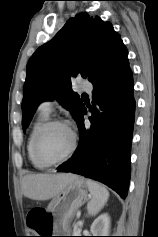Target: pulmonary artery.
<instances>
[{
  "instance_id": "1",
  "label": "pulmonary artery",
  "mask_w": 158,
  "mask_h": 237,
  "mask_svg": "<svg viewBox=\"0 0 158 237\" xmlns=\"http://www.w3.org/2000/svg\"><path fill=\"white\" fill-rule=\"evenodd\" d=\"M78 84L80 87H82L86 90L92 89L91 83H89L87 80H81V81H79ZM39 109L42 112L50 114L53 111V102L51 100H45V101L41 102V104L39 105Z\"/></svg>"
}]
</instances>
